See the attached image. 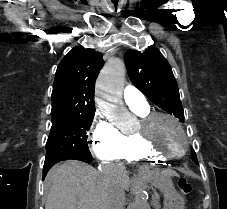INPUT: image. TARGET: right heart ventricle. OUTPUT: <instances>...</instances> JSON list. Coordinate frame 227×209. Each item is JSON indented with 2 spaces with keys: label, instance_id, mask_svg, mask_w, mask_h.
I'll return each instance as SVG.
<instances>
[{
  "label": "right heart ventricle",
  "instance_id": "e07e8e85",
  "mask_svg": "<svg viewBox=\"0 0 227 209\" xmlns=\"http://www.w3.org/2000/svg\"><path fill=\"white\" fill-rule=\"evenodd\" d=\"M134 111L137 116L142 118L149 113V108H134ZM123 138L124 143L120 151L118 160L124 161L128 164L159 163L163 161V159L147 152V150L136 138L135 133L123 134Z\"/></svg>",
  "mask_w": 227,
  "mask_h": 209
}]
</instances>
